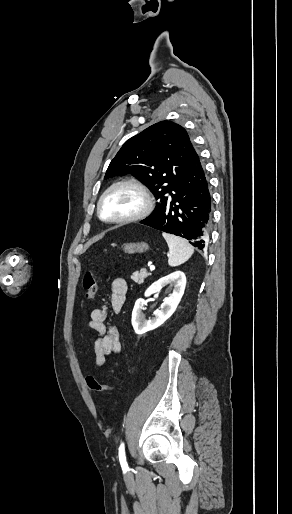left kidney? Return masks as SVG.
Masks as SVG:
<instances>
[{
    "label": "left kidney",
    "instance_id": "1",
    "mask_svg": "<svg viewBox=\"0 0 292 514\" xmlns=\"http://www.w3.org/2000/svg\"><path fill=\"white\" fill-rule=\"evenodd\" d=\"M167 284L174 286L173 292L169 298H165V300H163L161 310H155V318L146 320L142 312V310H145V300H143V298H139V300L135 302L131 322L136 334H139V336H141V334H146V332H150V330H155L158 326H162V324H164V322L174 314L184 294L186 286L185 274H183V272H173V274H169V276H165V278H160L158 282H154V284L146 290V298L151 296V294H156V292L162 290V288L167 286Z\"/></svg>",
    "mask_w": 292,
    "mask_h": 514
}]
</instances>
